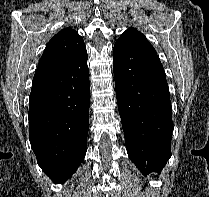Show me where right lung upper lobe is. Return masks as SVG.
I'll return each instance as SVG.
<instances>
[{
  "label": "right lung upper lobe",
  "mask_w": 209,
  "mask_h": 197,
  "mask_svg": "<svg viewBox=\"0 0 209 197\" xmlns=\"http://www.w3.org/2000/svg\"><path fill=\"white\" fill-rule=\"evenodd\" d=\"M86 52L83 38L73 29L65 28L48 42L39 61L33 81L50 76L73 63Z\"/></svg>",
  "instance_id": "1"
}]
</instances>
